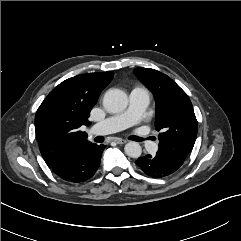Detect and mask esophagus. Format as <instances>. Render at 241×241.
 Listing matches in <instances>:
<instances>
[{"mask_svg": "<svg viewBox=\"0 0 241 241\" xmlns=\"http://www.w3.org/2000/svg\"><path fill=\"white\" fill-rule=\"evenodd\" d=\"M115 142H116L117 144H125L127 141L124 140V139L118 138V139H115Z\"/></svg>", "mask_w": 241, "mask_h": 241, "instance_id": "esophagus-1", "label": "esophagus"}]
</instances>
